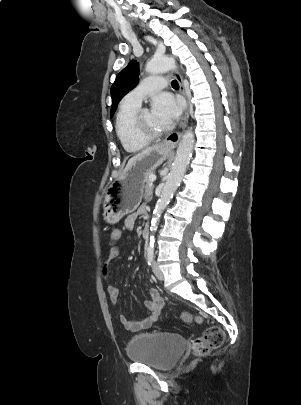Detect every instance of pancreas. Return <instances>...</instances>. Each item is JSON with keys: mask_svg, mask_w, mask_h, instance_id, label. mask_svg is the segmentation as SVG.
<instances>
[{"mask_svg": "<svg viewBox=\"0 0 301 405\" xmlns=\"http://www.w3.org/2000/svg\"><path fill=\"white\" fill-rule=\"evenodd\" d=\"M152 197H153V186H152V182L149 180V177H148L146 180V185H145L144 198L146 201H150V200H152Z\"/></svg>", "mask_w": 301, "mask_h": 405, "instance_id": "obj_1", "label": "pancreas"}]
</instances>
